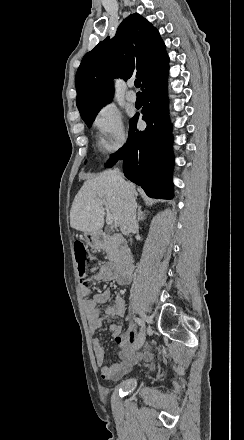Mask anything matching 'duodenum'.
<instances>
[{
  "label": "duodenum",
  "instance_id": "410a0bca",
  "mask_svg": "<svg viewBox=\"0 0 244 440\" xmlns=\"http://www.w3.org/2000/svg\"><path fill=\"white\" fill-rule=\"evenodd\" d=\"M92 242L95 246L102 249L109 246L106 236L101 232H98L93 236ZM112 242H114L117 247L123 245V242L120 238H116L114 241L112 240L111 243ZM134 264H135V259L133 255L128 253H123L119 256L116 267L119 271L126 272L129 274L132 272L131 270L134 267Z\"/></svg>",
  "mask_w": 244,
  "mask_h": 440
}]
</instances>
